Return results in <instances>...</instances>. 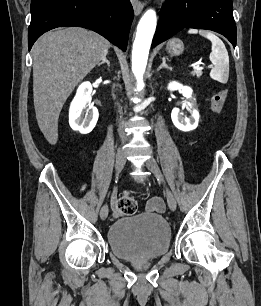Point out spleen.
<instances>
[{
  "label": "spleen",
  "mask_w": 261,
  "mask_h": 306,
  "mask_svg": "<svg viewBox=\"0 0 261 306\" xmlns=\"http://www.w3.org/2000/svg\"><path fill=\"white\" fill-rule=\"evenodd\" d=\"M189 34L199 33L201 36L207 38L212 43V51L209 59L213 64L210 72V77L220 83H227L229 78V56L227 49L214 33L206 30L190 29Z\"/></svg>",
  "instance_id": "spleen-1"
}]
</instances>
